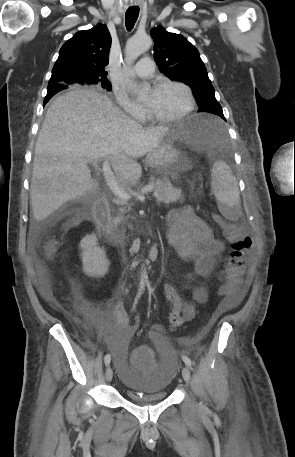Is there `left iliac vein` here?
Returning <instances> with one entry per match:
<instances>
[{"instance_id": "4c4485c4", "label": "left iliac vein", "mask_w": 295, "mask_h": 457, "mask_svg": "<svg viewBox=\"0 0 295 457\" xmlns=\"http://www.w3.org/2000/svg\"><path fill=\"white\" fill-rule=\"evenodd\" d=\"M182 376L187 385L190 383V371L187 366H184L182 369Z\"/></svg>"}]
</instances>
